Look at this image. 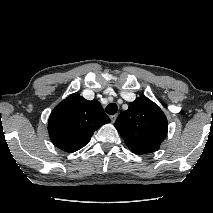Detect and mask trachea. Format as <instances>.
I'll list each match as a JSON object with an SVG mask.
<instances>
[{"label":"trachea","mask_w":213,"mask_h":213,"mask_svg":"<svg viewBox=\"0 0 213 213\" xmlns=\"http://www.w3.org/2000/svg\"><path fill=\"white\" fill-rule=\"evenodd\" d=\"M118 107L115 103H110L106 106L105 111L109 115H113L117 112Z\"/></svg>","instance_id":"obj_1"}]
</instances>
